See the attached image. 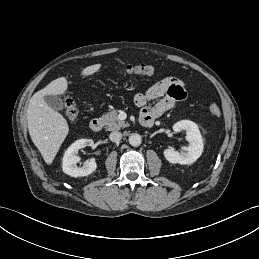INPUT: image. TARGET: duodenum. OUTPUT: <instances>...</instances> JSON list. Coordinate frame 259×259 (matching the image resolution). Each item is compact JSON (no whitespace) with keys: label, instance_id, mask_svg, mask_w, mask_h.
Instances as JSON below:
<instances>
[{"label":"duodenum","instance_id":"duodenum-1","mask_svg":"<svg viewBox=\"0 0 259 259\" xmlns=\"http://www.w3.org/2000/svg\"><path fill=\"white\" fill-rule=\"evenodd\" d=\"M141 123L143 125H151L153 123V119L150 117H141ZM103 127V122L99 118H94L90 121V129L93 132H99Z\"/></svg>","mask_w":259,"mask_h":259}]
</instances>
